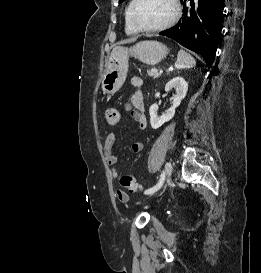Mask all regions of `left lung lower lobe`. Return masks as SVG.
Masks as SVG:
<instances>
[{
    "label": "left lung lower lobe",
    "instance_id": "1",
    "mask_svg": "<svg viewBox=\"0 0 261 273\" xmlns=\"http://www.w3.org/2000/svg\"><path fill=\"white\" fill-rule=\"evenodd\" d=\"M186 1L181 0L184 12L177 25L160 34L200 54L210 67L222 29L223 0H196L195 5L191 0L190 8L186 7Z\"/></svg>",
    "mask_w": 261,
    "mask_h": 273
}]
</instances>
